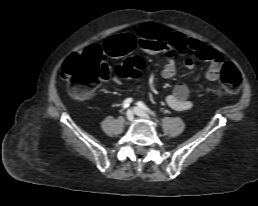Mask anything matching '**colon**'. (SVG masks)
<instances>
[{"mask_svg": "<svg viewBox=\"0 0 258 206\" xmlns=\"http://www.w3.org/2000/svg\"><path fill=\"white\" fill-rule=\"evenodd\" d=\"M150 30L155 31L153 28ZM156 30L162 31L158 27ZM144 68L145 63L141 58L131 57L117 63L116 73L125 78H139L143 74ZM108 75L109 68L105 57L101 50L96 47L85 49L81 54L71 55L64 63L62 70V78L68 83L70 96L78 101L86 100ZM220 78L221 84L216 91L217 94H233L240 89L241 74L232 63H224Z\"/></svg>", "mask_w": 258, "mask_h": 206, "instance_id": "5ec220e1", "label": "colon"}]
</instances>
